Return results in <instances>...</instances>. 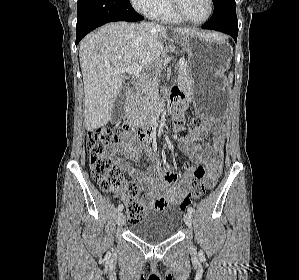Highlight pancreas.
I'll use <instances>...</instances> for the list:
<instances>
[{
    "label": "pancreas",
    "instance_id": "obj_1",
    "mask_svg": "<svg viewBox=\"0 0 299 280\" xmlns=\"http://www.w3.org/2000/svg\"><path fill=\"white\" fill-rule=\"evenodd\" d=\"M179 83L182 88L190 90L191 80L185 66L179 75ZM157 92L154 87L149 86L143 94H139L129 105L128 114L131 116L135 125L143 126L148 124L149 116L157 106Z\"/></svg>",
    "mask_w": 299,
    "mask_h": 280
}]
</instances>
